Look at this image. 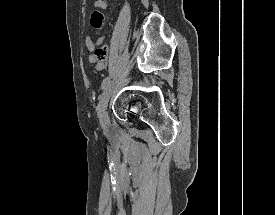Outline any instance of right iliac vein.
<instances>
[{
  "mask_svg": "<svg viewBox=\"0 0 275 215\" xmlns=\"http://www.w3.org/2000/svg\"><path fill=\"white\" fill-rule=\"evenodd\" d=\"M116 85V81H111L109 82V84L107 85V87L105 88L101 99L99 101L98 104V116L100 119V123L102 126H107L109 123V117H108V112H107V106H108V102L109 99L111 97V94L115 88Z\"/></svg>",
  "mask_w": 275,
  "mask_h": 215,
  "instance_id": "obj_1",
  "label": "right iliac vein"
}]
</instances>
